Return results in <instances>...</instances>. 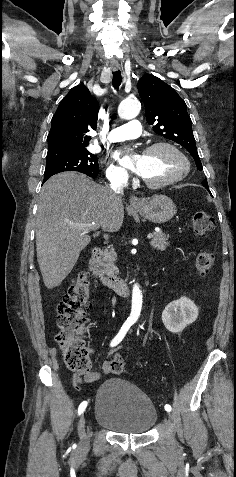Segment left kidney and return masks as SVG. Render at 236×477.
I'll return each instance as SVG.
<instances>
[{"label":"left kidney","instance_id":"5707ae66","mask_svg":"<svg viewBox=\"0 0 236 477\" xmlns=\"http://www.w3.org/2000/svg\"><path fill=\"white\" fill-rule=\"evenodd\" d=\"M198 317V308L187 297L169 303L162 312V322L172 333L182 332L187 325L192 324Z\"/></svg>","mask_w":236,"mask_h":477}]
</instances>
